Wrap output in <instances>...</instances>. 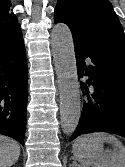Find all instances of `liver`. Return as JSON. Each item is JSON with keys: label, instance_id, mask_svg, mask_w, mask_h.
<instances>
[{"label": "liver", "instance_id": "1", "mask_svg": "<svg viewBox=\"0 0 125 167\" xmlns=\"http://www.w3.org/2000/svg\"><path fill=\"white\" fill-rule=\"evenodd\" d=\"M20 156V146L15 140L0 135V167H11Z\"/></svg>", "mask_w": 125, "mask_h": 167}]
</instances>
